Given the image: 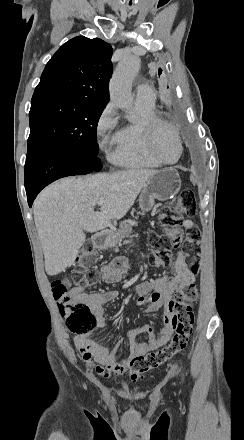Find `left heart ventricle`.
<instances>
[{
  "instance_id": "b2bd125f",
  "label": "left heart ventricle",
  "mask_w": 244,
  "mask_h": 440,
  "mask_svg": "<svg viewBox=\"0 0 244 440\" xmlns=\"http://www.w3.org/2000/svg\"><path fill=\"white\" fill-rule=\"evenodd\" d=\"M164 129L156 136L157 143L155 148L158 149V153L165 160L172 161L177 156L178 138L173 131Z\"/></svg>"
}]
</instances>
